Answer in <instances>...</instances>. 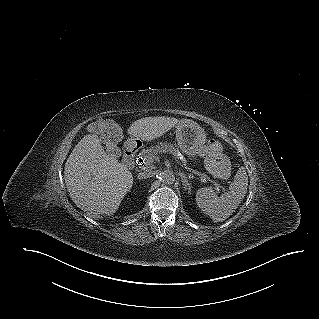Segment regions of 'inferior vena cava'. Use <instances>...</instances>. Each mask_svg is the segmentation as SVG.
<instances>
[{"instance_id": "obj_1", "label": "inferior vena cava", "mask_w": 319, "mask_h": 319, "mask_svg": "<svg viewBox=\"0 0 319 319\" xmlns=\"http://www.w3.org/2000/svg\"><path fill=\"white\" fill-rule=\"evenodd\" d=\"M154 176L153 171H143L138 174V179H146Z\"/></svg>"}]
</instances>
